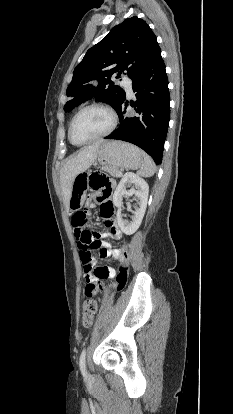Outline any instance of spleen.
Listing matches in <instances>:
<instances>
[{
	"label": "spleen",
	"instance_id": "spleen-1",
	"mask_svg": "<svg viewBox=\"0 0 233 414\" xmlns=\"http://www.w3.org/2000/svg\"><path fill=\"white\" fill-rule=\"evenodd\" d=\"M143 164L139 170V175L143 177H151L154 175L156 167L152 160V158L147 155L145 152H143Z\"/></svg>",
	"mask_w": 233,
	"mask_h": 414
}]
</instances>
